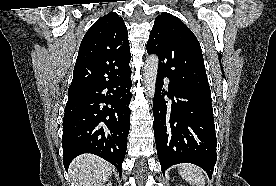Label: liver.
I'll return each mask as SVG.
<instances>
[{
    "label": "liver",
    "instance_id": "6515ba94",
    "mask_svg": "<svg viewBox=\"0 0 276 186\" xmlns=\"http://www.w3.org/2000/svg\"><path fill=\"white\" fill-rule=\"evenodd\" d=\"M71 186H103L112 175V165L98 156L83 154L69 168Z\"/></svg>",
    "mask_w": 276,
    "mask_h": 186
}]
</instances>
